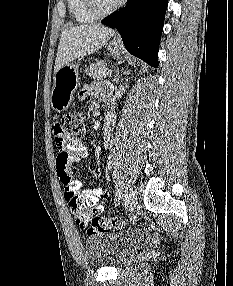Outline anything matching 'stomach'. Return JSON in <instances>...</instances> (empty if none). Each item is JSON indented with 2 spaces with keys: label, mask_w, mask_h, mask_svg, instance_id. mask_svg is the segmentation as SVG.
Segmentation results:
<instances>
[{
  "label": "stomach",
  "mask_w": 233,
  "mask_h": 286,
  "mask_svg": "<svg viewBox=\"0 0 233 286\" xmlns=\"http://www.w3.org/2000/svg\"><path fill=\"white\" fill-rule=\"evenodd\" d=\"M108 50L113 56L119 57L120 45L117 41H111ZM79 85V62H71L61 67L55 73L51 91L50 101L53 110L56 112L67 110Z\"/></svg>",
  "instance_id": "0dacf381"
}]
</instances>
